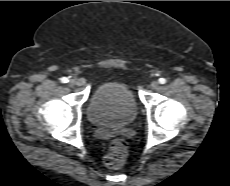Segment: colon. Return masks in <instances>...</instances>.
I'll list each match as a JSON object with an SVG mask.
<instances>
[{"mask_svg": "<svg viewBox=\"0 0 230 186\" xmlns=\"http://www.w3.org/2000/svg\"><path fill=\"white\" fill-rule=\"evenodd\" d=\"M128 157V148L122 139H115L110 143L109 149L104 156V162L110 169L121 168Z\"/></svg>", "mask_w": 230, "mask_h": 186, "instance_id": "colon-1", "label": "colon"}]
</instances>
